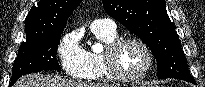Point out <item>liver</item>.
<instances>
[{
	"instance_id": "obj_1",
	"label": "liver",
	"mask_w": 205,
	"mask_h": 87,
	"mask_svg": "<svg viewBox=\"0 0 205 87\" xmlns=\"http://www.w3.org/2000/svg\"><path fill=\"white\" fill-rule=\"evenodd\" d=\"M14 87H114L109 84H87L74 82L42 74H29L21 77Z\"/></svg>"
}]
</instances>
